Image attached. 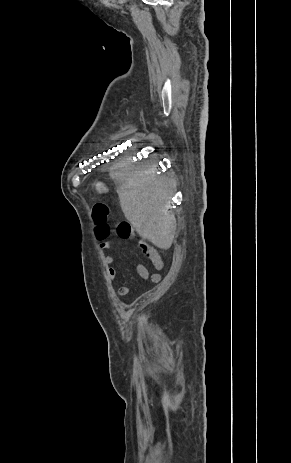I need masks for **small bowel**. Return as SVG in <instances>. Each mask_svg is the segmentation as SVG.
I'll list each match as a JSON object with an SVG mask.
<instances>
[{"label":"small bowel","instance_id":"1","mask_svg":"<svg viewBox=\"0 0 291 463\" xmlns=\"http://www.w3.org/2000/svg\"><path fill=\"white\" fill-rule=\"evenodd\" d=\"M102 249L104 250H109L110 245L108 242H105L104 244H100ZM139 245L145 254V256L152 262L155 272L150 275L148 268L146 265L143 263H139L136 267V271L140 279L143 281H151L153 283H157L161 280V274L160 271L163 268V260L158 256L156 251L147 243L141 241L139 242ZM104 262L107 265V275L110 279H115L118 276V270L114 266L116 260L113 256L107 255L104 257ZM117 293L119 296H127L131 293V288L128 286H121L118 288Z\"/></svg>","mask_w":291,"mask_h":463}]
</instances>
